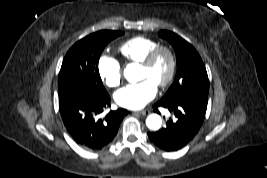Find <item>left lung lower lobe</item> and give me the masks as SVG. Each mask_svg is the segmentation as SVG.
<instances>
[{"instance_id":"left-lung-lower-lobe-1","label":"left lung lower lobe","mask_w":267,"mask_h":178,"mask_svg":"<svg viewBox=\"0 0 267 178\" xmlns=\"http://www.w3.org/2000/svg\"><path fill=\"white\" fill-rule=\"evenodd\" d=\"M172 112L175 119L167 121L166 126L157 132L148 133L153 144L164 151H176L186 146L201 128L207 109V102L195 98L177 101L160 100L154 105Z\"/></svg>"}]
</instances>
